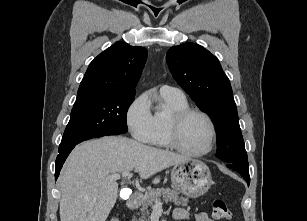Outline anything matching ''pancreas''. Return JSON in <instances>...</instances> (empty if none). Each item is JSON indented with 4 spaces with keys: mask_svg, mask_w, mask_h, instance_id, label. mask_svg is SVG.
<instances>
[{
    "mask_svg": "<svg viewBox=\"0 0 307 221\" xmlns=\"http://www.w3.org/2000/svg\"><path fill=\"white\" fill-rule=\"evenodd\" d=\"M161 196L165 202H173L176 206H187L188 199L179 196V192L171 190L170 188H156L150 190L142 198L141 217L136 221H146V217L149 216V207H154L156 201H160ZM135 221V218L133 219Z\"/></svg>",
    "mask_w": 307,
    "mask_h": 221,
    "instance_id": "pancreas-1",
    "label": "pancreas"
}]
</instances>
